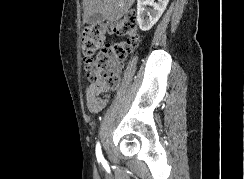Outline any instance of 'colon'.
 Listing matches in <instances>:
<instances>
[{
	"mask_svg": "<svg viewBox=\"0 0 244 179\" xmlns=\"http://www.w3.org/2000/svg\"><path fill=\"white\" fill-rule=\"evenodd\" d=\"M108 32L123 37V40L104 43ZM137 39V25L129 16L112 24L98 23L97 26L85 27L81 34V50L89 85L100 91H114L118 86V79L112 74L115 64L126 59Z\"/></svg>",
	"mask_w": 244,
	"mask_h": 179,
	"instance_id": "obj_1",
	"label": "colon"
}]
</instances>
